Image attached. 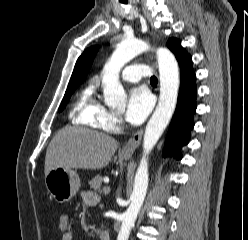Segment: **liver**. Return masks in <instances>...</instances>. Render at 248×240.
Returning a JSON list of instances; mask_svg holds the SVG:
<instances>
[{
    "instance_id": "liver-1",
    "label": "liver",
    "mask_w": 248,
    "mask_h": 240,
    "mask_svg": "<svg viewBox=\"0 0 248 240\" xmlns=\"http://www.w3.org/2000/svg\"><path fill=\"white\" fill-rule=\"evenodd\" d=\"M118 148L109 135L94 130L66 127L50 142L45 157V176L53 169H90L106 167Z\"/></svg>"
}]
</instances>
